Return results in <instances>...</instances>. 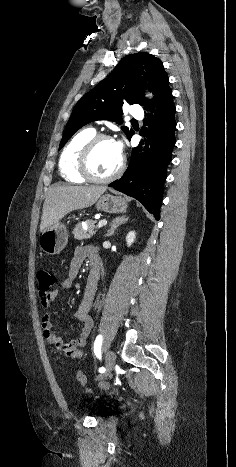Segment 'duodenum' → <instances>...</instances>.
Here are the masks:
<instances>
[{"mask_svg": "<svg viewBox=\"0 0 236 467\" xmlns=\"http://www.w3.org/2000/svg\"><path fill=\"white\" fill-rule=\"evenodd\" d=\"M88 276L92 281L97 280V278L99 276V270H98V267L96 265H94V264L91 265Z\"/></svg>", "mask_w": 236, "mask_h": 467, "instance_id": "1", "label": "duodenum"}]
</instances>
